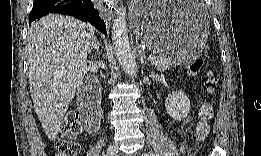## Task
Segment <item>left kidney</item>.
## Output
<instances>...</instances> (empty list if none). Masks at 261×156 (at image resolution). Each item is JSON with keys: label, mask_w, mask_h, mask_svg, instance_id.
<instances>
[{"label": "left kidney", "mask_w": 261, "mask_h": 156, "mask_svg": "<svg viewBox=\"0 0 261 156\" xmlns=\"http://www.w3.org/2000/svg\"><path fill=\"white\" fill-rule=\"evenodd\" d=\"M165 107L167 113L174 120L181 121L187 117L191 109V104L188 96L182 90H179L168 95Z\"/></svg>", "instance_id": "obj_1"}]
</instances>
